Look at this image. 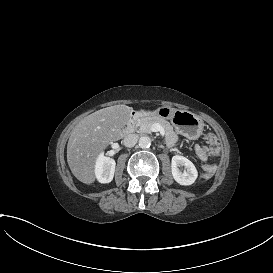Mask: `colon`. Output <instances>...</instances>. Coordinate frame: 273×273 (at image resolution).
<instances>
[{
	"instance_id": "obj_1",
	"label": "colon",
	"mask_w": 273,
	"mask_h": 273,
	"mask_svg": "<svg viewBox=\"0 0 273 273\" xmlns=\"http://www.w3.org/2000/svg\"><path fill=\"white\" fill-rule=\"evenodd\" d=\"M214 170L215 168L213 165H206L204 168L205 175L207 177H210L213 174Z\"/></svg>"
}]
</instances>
